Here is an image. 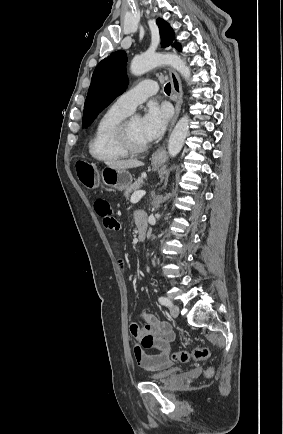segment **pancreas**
I'll list each match as a JSON object with an SVG mask.
<instances>
[{"label": "pancreas", "instance_id": "1", "mask_svg": "<svg viewBox=\"0 0 283 434\" xmlns=\"http://www.w3.org/2000/svg\"><path fill=\"white\" fill-rule=\"evenodd\" d=\"M142 183H143V180L141 178H139L132 185H130L124 193L125 198L128 199L132 192L137 191L142 186Z\"/></svg>", "mask_w": 283, "mask_h": 434}]
</instances>
